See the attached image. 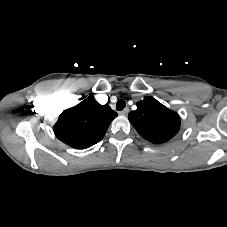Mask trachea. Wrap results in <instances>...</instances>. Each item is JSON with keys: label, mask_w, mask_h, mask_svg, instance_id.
Listing matches in <instances>:
<instances>
[{"label": "trachea", "mask_w": 227, "mask_h": 227, "mask_svg": "<svg viewBox=\"0 0 227 227\" xmlns=\"http://www.w3.org/2000/svg\"><path fill=\"white\" fill-rule=\"evenodd\" d=\"M125 106H126L125 101H124L123 99H120V100L117 102V104H116V109H117L118 111H121V110H123V109L125 108Z\"/></svg>", "instance_id": "obj_1"}]
</instances>
